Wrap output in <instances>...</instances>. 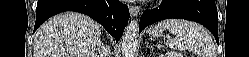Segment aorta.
Returning a JSON list of instances; mask_svg holds the SVG:
<instances>
[{"mask_svg":"<svg viewBox=\"0 0 249 57\" xmlns=\"http://www.w3.org/2000/svg\"><path fill=\"white\" fill-rule=\"evenodd\" d=\"M139 22L132 20L126 27L122 37V56L135 57L138 47Z\"/></svg>","mask_w":249,"mask_h":57,"instance_id":"aorta-1","label":"aorta"}]
</instances>
